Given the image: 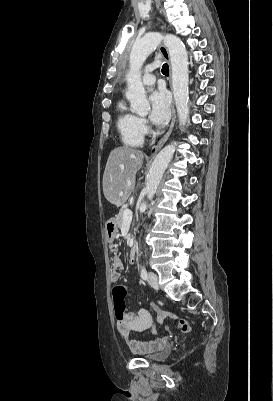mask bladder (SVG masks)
<instances>
[{"label": "bladder", "mask_w": 273, "mask_h": 401, "mask_svg": "<svg viewBox=\"0 0 273 401\" xmlns=\"http://www.w3.org/2000/svg\"><path fill=\"white\" fill-rule=\"evenodd\" d=\"M171 353H172V348L170 346H165L162 349H160L152 354L144 355L142 357L148 361L157 362V361L165 360L166 358H168L171 355Z\"/></svg>", "instance_id": "obj_1"}]
</instances>
